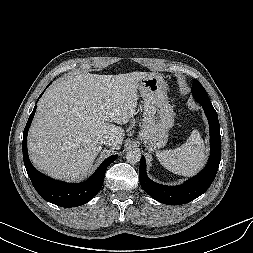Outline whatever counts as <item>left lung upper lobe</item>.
I'll use <instances>...</instances> for the list:
<instances>
[{"instance_id": "obj_1", "label": "left lung upper lobe", "mask_w": 253, "mask_h": 253, "mask_svg": "<svg viewBox=\"0 0 253 253\" xmlns=\"http://www.w3.org/2000/svg\"><path fill=\"white\" fill-rule=\"evenodd\" d=\"M192 94L194 99L201 105H211L208 95L204 87L197 81L194 80L192 84Z\"/></svg>"}]
</instances>
